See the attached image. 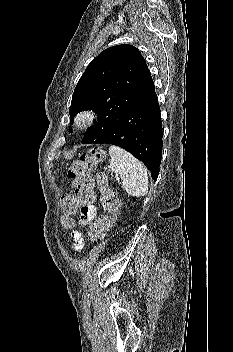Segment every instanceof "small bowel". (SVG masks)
I'll use <instances>...</instances> for the list:
<instances>
[{
	"label": "small bowel",
	"instance_id": "small-bowel-1",
	"mask_svg": "<svg viewBox=\"0 0 233 352\" xmlns=\"http://www.w3.org/2000/svg\"><path fill=\"white\" fill-rule=\"evenodd\" d=\"M96 217V207L93 203L86 207H82L80 211V222L85 225L93 221ZM71 238L73 241L72 249L73 251H80L84 247V238L80 231H73L71 233Z\"/></svg>",
	"mask_w": 233,
	"mask_h": 352
}]
</instances>
